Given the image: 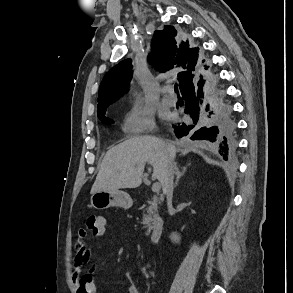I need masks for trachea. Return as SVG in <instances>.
I'll list each match as a JSON object with an SVG mask.
<instances>
[{
  "instance_id": "1",
  "label": "trachea",
  "mask_w": 293,
  "mask_h": 293,
  "mask_svg": "<svg viewBox=\"0 0 293 293\" xmlns=\"http://www.w3.org/2000/svg\"><path fill=\"white\" fill-rule=\"evenodd\" d=\"M174 90L178 94V87H177V85L174 86Z\"/></svg>"
}]
</instances>
